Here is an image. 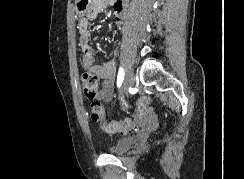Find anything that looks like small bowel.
<instances>
[{
	"label": "small bowel",
	"instance_id": "1",
	"mask_svg": "<svg viewBox=\"0 0 244 179\" xmlns=\"http://www.w3.org/2000/svg\"><path fill=\"white\" fill-rule=\"evenodd\" d=\"M88 4V13L86 18H79V44L81 49V62L83 67L97 75L103 80V86L97 94V98L103 101L111 100L114 92V82L116 77V60L112 59L104 64H96V50L89 44L91 37L90 24L97 16L104 11L108 6H111L114 13V26L121 27L126 20V5L119 1L110 0H91ZM136 125L157 126L155 116H151L150 112L140 110L139 114L133 117ZM134 127V126H127Z\"/></svg>",
	"mask_w": 244,
	"mask_h": 179
}]
</instances>
